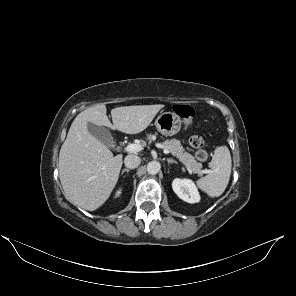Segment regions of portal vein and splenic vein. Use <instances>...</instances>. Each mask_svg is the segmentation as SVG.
<instances>
[{
  "mask_svg": "<svg viewBox=\"0 0 296 296\" xmlns=\"http://www.w3.org/2000/svg\"><path fill=\"white\" fill-rule=\"evenodd\" d=\"M141 150H142V145L141 144H129L125 148V151L126 152H129V153H137V152H139ZM164 153L165 154H168L169 153V150L168 149H164ZM207 172H208L207 170H205V171L203 170V171H201V174L207 173Z\"/></svg>",
  "mask_w": 296,
  "mask_h": 296,
  "instance_id": "18ae733b",
  "label": "portal vein and splenic vein"
}]
</instances>
